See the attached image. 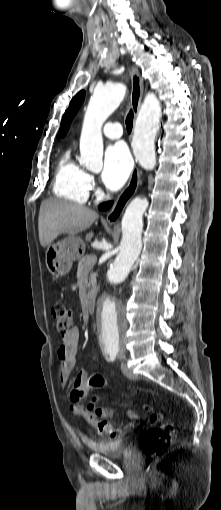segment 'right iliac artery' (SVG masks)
<instances>
[{"instance_id": "obj_1", "label": "right iliac artery", "mask_w": 221, "mask_h": 510, "mask_svg": "<svg viewBox=\"0 0 221 510\" xmlns=\"http://www.w3.org/2000/svg\"><path fill=\"white\" fill-rule=\"evenodd\" d=\"M116 354H117V352H114V351H110V352H109L110 360H111V361H113V360L115 359Z\"/></svg>"}]
</instances>
